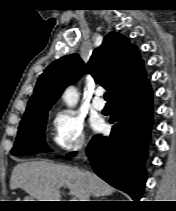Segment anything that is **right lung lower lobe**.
I'll list each match as a JSON object with an SVG mask.
<instances>
[{
    "label": "right lung lower lobe",
    "instance_id": "right-lung-lower-lobe-1",
    "mask_svg": "<svg viewBox=\"0 0 176 211\" xmlns=\"http://www.w3.org/2000/svg\"><path fill=\"white\" fill-rule=\"evenodd\" d=\"M152 110V90L147 82L133 95L113 102L110 136L96 135L87 147V156L96 174L128 193L134 201L141 198L146 182L144 161Z\"/></svg>",
    "mask_w": 176,
    "mask_h": 211
}]
</instances>
